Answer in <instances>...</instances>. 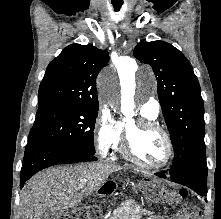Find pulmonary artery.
I'll return each instance as SVG.
<instances>
[{
    "label": "pulmonary artery",
    "mask_w": 221,
    "mask_h": 219,
    "mask_svg": "<svg viewBox=\"0 0 221 219\" xmlns=\"http://www.w3.org/2000/svg\"><path fill=\"white\" fill-rule=\"evenodd\" d=\"M160 111V104L154 98L148 99L141 107V112L156 117Z\"/></svg>",
    "instance_id": "1"
}]
</instances>
